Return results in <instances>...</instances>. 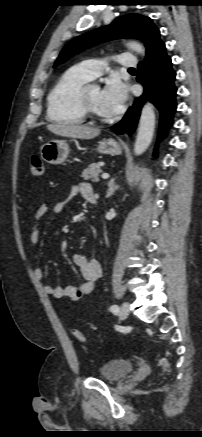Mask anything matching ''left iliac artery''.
<instances>
[{"instance_id":"left-iliac-artery-1","label":"left iliac artery","mask_w":202,"mask_h":437,"mask_svg":"<svg viewBox=\"0 0 202 437\" xmlns=\"http://www.w3.org/2000/svg\"><path fill=\"white\" fill-rule=\"evenodd\" d=\"M110 311H112V312H118V311H119V307H118L117 305H112V306L110 307Z\"/></svg>"}]
</instances>
